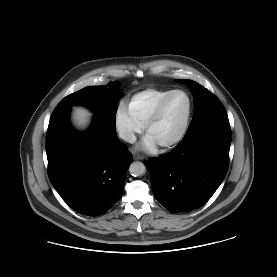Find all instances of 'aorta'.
Instances as JSON below:
<instances>
[{
  "mask_svg": "<svg viewBox=\"0 0 277 277\" xmlns=\"http://www.w3.org/2000/svg\"><path fill=\"white\" fill-rule=\"evenodd\" d=\"M129 172L132 176L138 177L146 172V167L142 162H133L129 167Z\"/></svg>",
  "mask_w": 277,
  "mask_h": 277,
  "instance_id": "obj_1",
  "label": "aorta"
}]
</instances>
